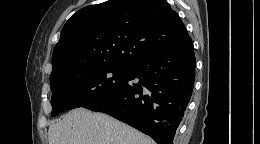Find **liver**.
<instances>
[{
    "label": "liver",
    "instance_id": "1",
    "mask_svg": "<svg viewBox=\"0 0 260 144\" xmlns=\"http://www.w3.org/2000/svg\"><path fill=\"white\" fill-rule=\"evenodd\" d=\"M49 144H155L136 129L103 113L77 108L48 131Z\"/></svg>",
    "mask_w": 260,
    "mask_h": 144
}]
</instances>
